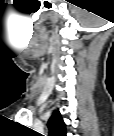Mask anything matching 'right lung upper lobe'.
Segmentation results:
<instances>
[{
	"instance_id": "1",
	"label": "right lung upper lobe",
	"mask_w": 114,
	"mask_h": 136,
	"mask_svg": "<svg viewBox=\"0 0 114 136\" xmlns=\"http://www.w3.org/2000/svg\"><path fill=\"white\" fill-rule=\"evenodd\" d=\"M48 128L50 136H66V126L58 110L49 119Z\"/></svg>"
}]
</instances>
